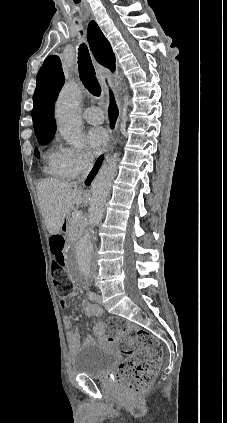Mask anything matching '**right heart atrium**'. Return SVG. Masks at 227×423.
I'll list each match as a JSON object with an SVG mask.
<instances>
[{
  "label": "right heart atrium",
  "mask_w": 227,
  "mask_h": 423,
  "mask_svg": "<svg viewBox=\"0 0 227 423\" xmlns=\"http://www.w3.org/2000/svg\"><path fill=\"white\" fill-rule=\"evenodd\" d=\"M58 153L60 170L66 179L86 174L94 165L93 156L82 148L61 147Z\"/></svg>",
  "instance_id": "right-heart-atrium-1"
}]
</instances>
